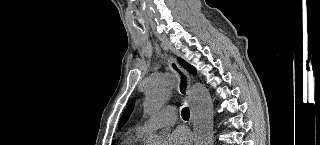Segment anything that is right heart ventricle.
<instances>
[{
	"label": "right heart ventricle",
	"mask_w": 320,
	"mask_h": 145,
	"mask_svg": "<svg viewBox=\"0 0 320 145\" xmlns=\"http://www.w3.org/2000/svg\"><path fill=\"white\" fill-rule=\"evenodd\" d=\"M143 138V134L135 132L133 135H129L126 140L123 142V145H138V143Z\"/></svg>",
	"instance_id": "obj_1"
}]
</instances>
